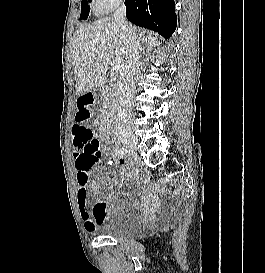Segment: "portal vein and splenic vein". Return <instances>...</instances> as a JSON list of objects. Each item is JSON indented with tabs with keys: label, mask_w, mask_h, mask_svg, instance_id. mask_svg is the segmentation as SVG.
Instances as JSON below:
<instances>
[{
	"label": "portal vein and splenic vein",
	"mask_w": 265,
	"mask_h": 273,
	"mask_svg": "<svg viewBox=\"0 0 265 273\" xmlns=\"http://www.w3.org/2000/svg\"><path fill=\"white\" fill-rule=\"evenodd\" d=\"M111 66H112L113 71H119L122 68L123 65H122V63L120 61L116 60L111 64Z\"/></svg>",
	"instance_id": "18ae733b"
}]
</instances>
